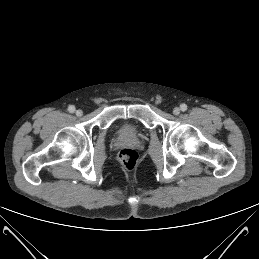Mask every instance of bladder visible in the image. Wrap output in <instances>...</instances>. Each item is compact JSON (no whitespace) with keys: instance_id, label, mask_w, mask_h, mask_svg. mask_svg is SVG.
Listing matches in <instances>:
<instances>
[{"instance_id":"1","label":"bladder","mask_w":259,"mask_h":259,"mask_svg":"<svg viewBox=\"0 0 259 259\" xmlns=\"http://www.w3.org/2000/svg\"><path fill=\"white\" fill-rule=\"evenodd\" d=\"M122 133H131V130H129L128 128L124 127L121 129Z\"/></svg>"}]
</instances>
